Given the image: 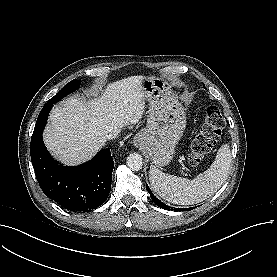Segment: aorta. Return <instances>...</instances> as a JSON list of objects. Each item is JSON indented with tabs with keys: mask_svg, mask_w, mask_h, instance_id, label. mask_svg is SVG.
I'll list each match as a JSON object with an SVG mask.
<instances>
[{
	"mask_svg": "<svg viewBox=\"0 0 277 277\" xmlns=\"http://www.w3.org/2000/svg\"><path fill=\"white\" fill-rule=\"evenodd\" d=\"M127 166L133 171H139L143 166V158L140 154L134 152L127 156Z\"/></svg>",
	"mask_w": 277,
	"mask_h": 277,
	"instance_id": "762f6f07",
	"label": "aorta"
}]
</instances>
